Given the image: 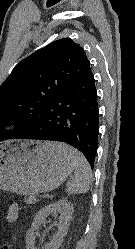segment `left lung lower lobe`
Returning <instances> with one entry per match:
<instances>
[{
	"mask_svg": "<svg viewBox=\"0 0 135 249\" xmlns=\"http://www.w3.org/2000/svg\"><path fill=\"white\" fill-rule=\"evenodd\" d=\"M99 135V106L95 79L90 72L68 88L43 112L37 127L19 139L68 143L94 166Z\"/></svg>",
	"mask_w": 135,
	"mask_h": 249,
	"instance_id": "obj_1",
	"label": "left lung lower lobe"
}]
</instances>
